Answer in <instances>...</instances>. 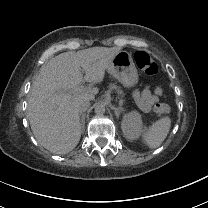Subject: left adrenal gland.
I'll return each instance as SVG.
<instances>
[{
    "mask_svg": "<svg viewBox=\"0 0 208 208\" xmlns=\"http://www.w3.org/2000/svg\"><path fill=\"white\" fill-rule=\"evenodd\" d=\"M111 109L114 110L115 116L117 117V119L119 118L120 113L124 111V109L121 107V105L117 108L114 106H111Z\"/></svg>",
    "mask_w": 208,
    "mask_h": 208,
    "instance_id": "obj_1",
    "label": "left adrenal gland"
}]
</instances>
